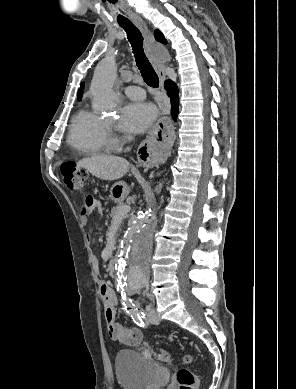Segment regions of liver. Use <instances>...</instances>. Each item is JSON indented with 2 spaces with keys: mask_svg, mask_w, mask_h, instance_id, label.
Returning <instances> with one entry per match:
<instances>
[{
  "mask_svg": "<svg viewBox=\"0 0 296 389\" xmlns=\"http://www.w3.org/2000/svg\"><path fill=\"white\" fill-rule=\"evenodd\" d=\"M78 167L85 168L95 177L114 181L122 178L129 171V162L121 157L111 155H93L77 162Z\"/></svg>",
  "mask_w": 296,
  "mask_h": 389,
  "instance_id": "1",
  "label": "liver"
}]
</instances>
